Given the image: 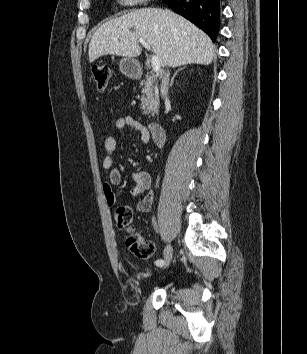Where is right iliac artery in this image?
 Wrapping results in <instances>:
<instances>
[{
  "label": "right iliac artery",
  "mask_w": 307,
  "mask_h": 354,
  "mask_svg": "<svg viewBox=\"0 0 307 354\" xmlns=\"http://www.w3.org/2000/svg\"><path fill=\"white\" fill-rule=\"evenodd\" d=\"M155 264H156V266H160L161 267V266H163L165 264V262L162 259H158V260L155 261Z\"/></svg>",
  "instance_id": "82829eb1"
}]
</instances>
